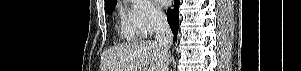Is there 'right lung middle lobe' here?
I'll use <instances>...</instances> for the list:
<instances>
[{"mask_svg": "<svg viewBox=\"0 0 301 71\" xmlns=\"http://www.w3.org/2000/svg\"><path fill=\"white\" fill-rule=\"evenodd\" d=\"M116 3H117V1L114 0L112 2H109V3L105 4V10H106V12L107 13H112V11L115 8Z\"/></svg>", "mask_w": 301, "mask_h": 71, "instance_id": "right-lung-middle-lobe-1", "label": "right lung middle lobe"}]
</instances>
